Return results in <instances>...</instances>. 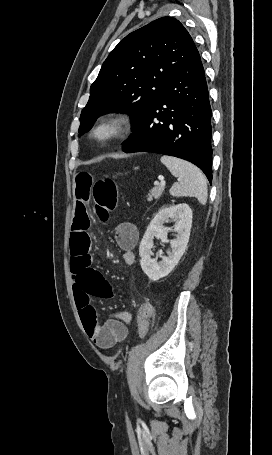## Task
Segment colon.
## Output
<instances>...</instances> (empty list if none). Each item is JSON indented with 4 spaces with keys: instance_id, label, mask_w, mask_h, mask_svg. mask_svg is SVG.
Here are the masks:
<instances>
[{
    "instance_id": "colon-1",
    "label": "colon",
    "mask_w": 272,
    "mask_h": 455,
    "mask_svg": "<svg viewBox=\"0 0 272 455\" xmlns=\"http://www.w3.org/2000/svg\"><path fill=\"white\" fill-rule=\"evenodd\" d=\"M92 197L97 216L107 221L117 206L118 189L115 182L109 178L98 179L93 187ZM152 307L149 303L142 304L137 312L138 335L145 338L149 330V318Z\"/></svg>"
}]
</instances>
